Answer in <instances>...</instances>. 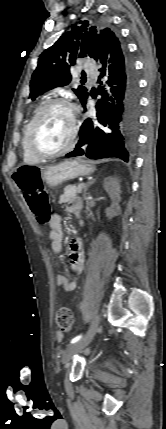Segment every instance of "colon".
Returning <instances> with one entry per match:
<instances>
[{
    "label": "colon",
    "instance_id": "obj_1",
    "mask_svg": "<svg viewBox=\"0 0 166 429\" xmlns=\"http://www.w3.org/2000/svg\"><path fill=\"white\" fill-rule=\"evenodd\" d=\"M13 180L22 193L28 206L41 223L50 217V206L44 191L41 169L38 165H23L13 174ZM74 323L73 313L69 307L63 306L57 310L56 324L63 332H70Z\"/></svg>",
    "mask_w": 166,
    "mask_h": 429
}]
</instances>
